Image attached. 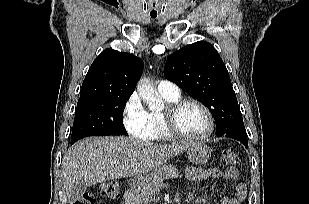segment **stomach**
Wrapping results in <instances>:
<instances>
[{"mask_svg":"<svg viewBox=\"0 0 309 204\" xmlns=\"http://www.w3.org/2000/svg\"><path fill=\"white\" fill-rule=\"evenodd\" d=\"M188 159L192 164L202 165L206 163L211 156V149L202 141L193 142L187 150ZM142 180V178L137 179Z\"/></svg>","mask_w":309,"mask_h":204,"instance_id":"0dacf381","label":"stomach"}]
</instances>
